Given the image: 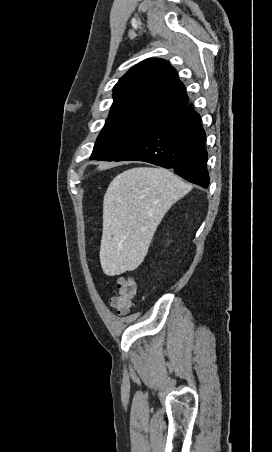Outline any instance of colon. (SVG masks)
<instances>
[{
	"mask_svg": "<svg viewBox=\"0 0 272 452\" xmlns=\"http://www.w3.org/2000/svg\"><path fill=\"white\" fill-rule=\"evenodd\" d=\"M137 295V284L131 277L117 278V292L111 298L110 305L120 314L126 315L134 305Z\"/></svg>",
	"mask_w": 272,
	"mask_h": 452,
	"instance_id": "obj_1",
	"label": "colon"
}]
</instances>
